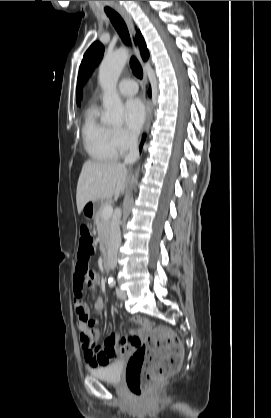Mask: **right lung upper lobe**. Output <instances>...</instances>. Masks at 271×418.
<instances>
[{
    "label": "right lung upper lobe",
    "mask_w": 271,
    "mask_h": 418,
    "mask_svg": "<svg viewBox=\"0 0 271 418\" xmlns=\"http://www.w3.org/2000/svg\"><path fill=\"white\" fill-rule=\"evenodd\" d=\"M136 39H137V41H138V43H139V46H140V49H141V55H142V58L144 59V60H147L148 59V57H149V52H148V50H147V48H146V45H145V42H144V39H143V37L141 36V33L139 32V31H137V34H136ZM81 99V94H80V92L78 91V89H77V100H80Z\"/></svg>",
    "instance_id": "1"
}]
</instances>
